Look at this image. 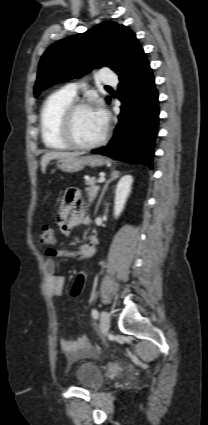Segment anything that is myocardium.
<instances>
[{
	"label": "myocardium",
	"mask_w": 208,
	"mask_h": 425,
	"mask_svg": "<svg viewBox=\"0 0 208 425\" xmlns=\"http://www.w3.org/2000/svg\"><path fill=\"white\" fill-rule=\"evenodd\" d=\"M93 110V107L85 102H73L62 114L60 122V135L62 139L73 149L91 150L103 145L108 138V126L105 124V129L102 136L95 142L83 144L76 140L73 134V123L75 115L80 110Z\"/></svg>",
	"instance_id": "f54148a6"
}]
</instances>
